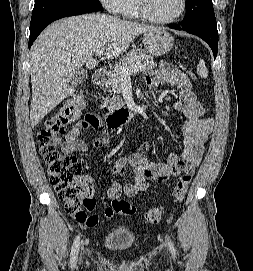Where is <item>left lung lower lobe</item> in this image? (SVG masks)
I'll list each match as a JSON object with an SVG mask.
<instances>
[{"label":"left lung lower lobe","instance_id":"obj_1","mask_svg":"<svg viewBox=\"0 0 253 271\" xmlns=\"http://www.w3.org/2000/svg\"><path fill=\"white\" fill-rule=\"evenodd\" d=\"M170 28L176 30H184L202 38L211 47L214 59L216 58L218 52V31L216 22H207L192 27L173 25L170 26Z\"/></svg>","mask_w":253,"mask_h":271}]
</instances>
